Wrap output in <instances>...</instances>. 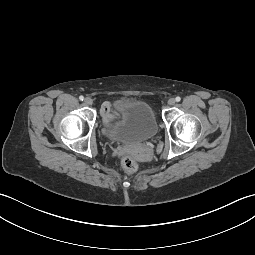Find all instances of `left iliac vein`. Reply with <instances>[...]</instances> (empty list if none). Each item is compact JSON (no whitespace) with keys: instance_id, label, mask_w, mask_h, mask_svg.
I'll use <instances>...</instances> for the list:
<instances>
[{"instance_id":"1","label":"left iliac vein","mask_w":255,"mask_h":255,"mask_svg":"<svg viewBox=\"0 0 255 255\" xmlns=\"http://www.w3.org/2000/svg\"><path fill=\"white\" fill-rule=\"evenodd\" d=\"M175 102H176V101H175L174 98H170V99L168 100V104H169L170 106L174 105Z\"/></svg>"}]
</instances>
